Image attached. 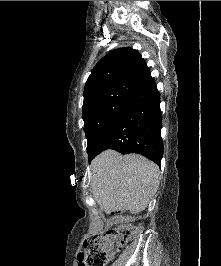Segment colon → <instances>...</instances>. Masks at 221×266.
<instances>
[{
  "label": "colon",
  "mask_w": 221,
  "mask_h": 266,
  "mask_svg": "<svg viewBox=\"0 0 221 266\" xmlns=\"http://www.w3.org/2000/svg\"><path fill=\"white\" fill-rule=\"evenodd\" d=\"M137 231V226H120L88 238L84 243V262L87 266H106Z\"/></svg>",
  "instance_id": "obj_1"
}]
</instances>
